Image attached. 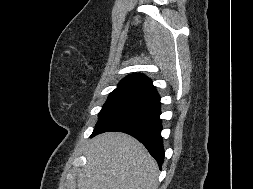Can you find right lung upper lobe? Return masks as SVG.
<instances>
[{"mask_svg":"<svg viewBox=\"0 0 253 189\" xmlns=\"http://www.w3.org/2000/svg\"><path fill=\"white\" fill-rule=\"evenodd\" d=\"M132 89L144 91L147 94L155 92L156 89L152 81L143 74L135 73L125 77L118 85L117 89Z\"/></svg>","mask_w":253,"mask_h":189,"instance_id":"1","label":"right lung upper lobe"}]
</instances>
